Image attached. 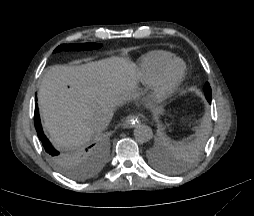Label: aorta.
<instances>
[{
    "label": "aorta",
    "instance_id": "obj_1",
    "mask_svg": "<svg viewBox=\"0 0 254 216\" xmlns=\"http://www.w3.org/2000/svg\"><path fill=\"white\" fill-rule=\"evenodd\" d=\"M134 137L140 143L148 142L153 137L152 129L144 124H138L134 129Z\"/></svg>",
    "mask_w": 254,
    "mask_h": 216
}]
</instances>
